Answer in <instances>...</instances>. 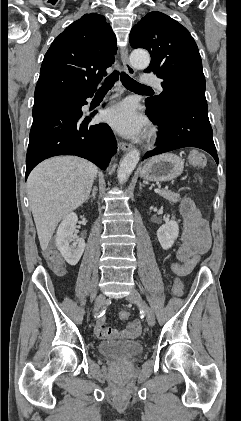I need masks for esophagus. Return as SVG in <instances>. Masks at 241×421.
I'll return each mask as SVG.
<instances>
[{
    "instance_id": "esophagus-1",
    "label": "esophagus",
    "mask_w": 241,
    "mask_h": 421,
    "mask_svg": "<svg viewBox=\"0 0 241 421\" xmlns=\"http://www.w3.org/2000/svg\"><path fill=\"white\" fill-rule=\"evenodd\" d=\"M121 61L124 67V70L126 71L127 74H129L130 76H134L135 75V69L132 67V65L129 62V57H128V48L125 47L121 50ZM119 149H121L122 151H129L133 148V146L129 143L120 141L119 144Z\"/></svg>"
}]
</instances>
